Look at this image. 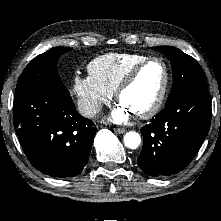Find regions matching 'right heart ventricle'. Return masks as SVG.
<instances>
[{"instance_id": "1", "label": "right heart ventricle", "mask_w": 221, "mask_h": 221, "mask_svg": "<svg viewBox=\"0 0 221 221\" xmlns=\"http://www.w3.org/2000/svg\"><path fill=\"white\" fill-rule=\"evenodd\" d=\"M147 58L142 54L107 53L93 59L87 69L89 75L112 95L126 74Z\"/></svg>"}]
</instances>
